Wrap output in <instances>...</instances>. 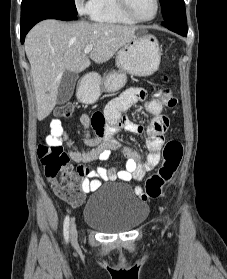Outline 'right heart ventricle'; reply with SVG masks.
Returning a JSON list of instances; mask_svg holds the SVG:
<instances>
[{
	"label": "right heart ventricle",
	"mask_w": 227,
	"mask_h": 279,
	"mask_svg": "<svg viewBox=\"0 0 227 279\" xmlns=\"http://www.w3.org/2000/svg\"><path fill=\"white\" fill-rule=\"evenodd\" d=\"M90 15L94 21L98 22L114 24H134L136 22L122 11L117 0H98Z\"/></svg>",
	"instance_id": "1"
}]
</instances>
